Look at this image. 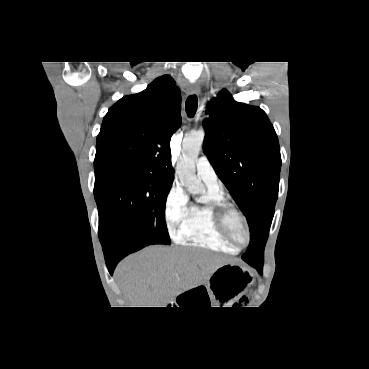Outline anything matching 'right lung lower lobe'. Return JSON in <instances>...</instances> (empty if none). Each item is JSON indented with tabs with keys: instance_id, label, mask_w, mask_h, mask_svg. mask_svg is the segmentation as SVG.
Returning <instances> with one entry per match:
<instances>
[{
	"instance_id": "right-lung-lower-lobe-1",
	"label": "right lung lower lobe",
	"mask_w": 369,
	"mask_h": 369,
	"mask_svg": "<svg viewBox=\"0 0 369 369\" xmlns=\"http://www.w3.org/2000/svg\"><path fill=\"white\" fill-rule=\"evenodd\" d=\"M147 246L134 236L119 234L102 243L103 252L110 274H113L116 264L126 255Z\"/></svg>"
}]
</instances>
